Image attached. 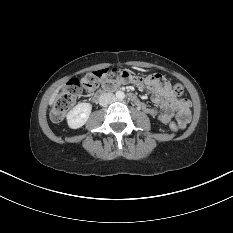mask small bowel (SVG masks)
<instances>
[{"label":"small bowel","mask_w":233,"mask_h":233,"mask_svg":"<svg viewBox=\"0 0 233 233\" xmlns=\"http://www.w3.org/2000/svg\"><path fill=\"white\" fill-rule=\"evenodd\" d=\"M115 80L119 83H135L145 86L151 93L154 102L161 108L157 110L155 107L146 106L140 101L138 105L149 116L156 117L162 123L170 122L176 116L177 124L180 128H184L191 119V103L187 99L177 98L171 91L169 82L162 78L161 75H152L143 81L142 75L129 73L123 69L115 75Z\"/></svg>","instance_id":"small-bowel-1"}]
</instances>
